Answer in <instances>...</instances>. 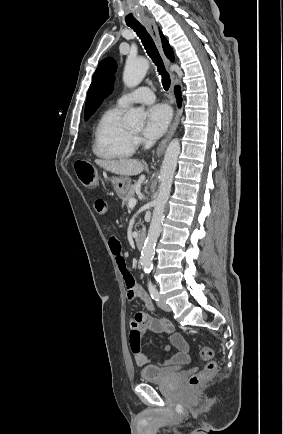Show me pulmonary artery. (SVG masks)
<instances>
[{
	"label": "pulmonary artery",
	"mask_w": 283,
	"mask_h": 434,
	"mask_svg": "<svg viewBox=\"0 0 283 434\" xmlns=\"http://www.w3.org/2000/svg\"><path fill=\"white\" fill-rule=\"evenodd\" d=\"M155 100L153 91L148 87H139L134 91L121 95L117 100V106L120 108H126L134 103L149 104Z\"/></svg>",
	"instance_id": "e3ab8cb5"
}]
</instances>
